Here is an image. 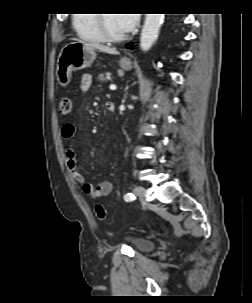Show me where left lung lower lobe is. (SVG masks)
<instances>
[{"label":"left lung lower lobe","mask_w":252,"mask_h":303,"mask_svg":"<svg viewBox=\"0 0 252 303\" xmlns=\"http://www.w3.org/2000/svg\"><path fill=\"white\" fill-rule=\"evenodd\" d=\"M131 46H132V43H129V44H127V48H131Z\"/></svg>","instance_id":"0a47b994"}]
</instances>
